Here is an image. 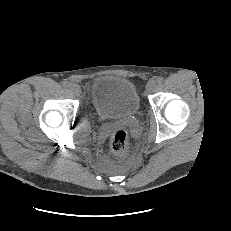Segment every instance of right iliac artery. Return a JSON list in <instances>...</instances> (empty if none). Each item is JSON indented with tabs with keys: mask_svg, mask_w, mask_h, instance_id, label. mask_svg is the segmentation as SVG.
<instances>
[{
	"mask_svg": "<svg viewBox=\"0 0 231 231\" xmlns=\"http://www.w3.org/2000/svg\"><path fill=\"white\" fill-rule=\"evenodd\" d=\"M62 84L65 88H68L70 86V82L68 81H64Z\"/></svg>",
	"mask_w": 231,
	"mask_h": 231,
	"instance_id": "1",
	"label": "right iliac artery"
}]
</instances>
